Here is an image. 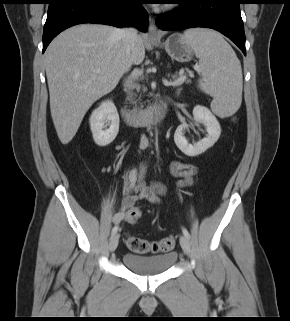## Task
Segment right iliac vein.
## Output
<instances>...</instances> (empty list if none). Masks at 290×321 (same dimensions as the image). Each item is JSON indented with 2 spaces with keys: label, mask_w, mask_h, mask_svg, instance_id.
Here are the masks:
<instances>
[{
  "label": "right iliac vein",
  "mask_w": 290,
  "mask_h": 321,
  "mask_svg": "<svg viewBox=\"0 0 290 321\" xmlns=\"http://www.w3.org/2000/svg\"><path fill=\"white\" fill-rule=\"evenodd\" d=\"M118 243H119V236L118 234H114L110 240L109 250L111 252L115 251L118 246Z\"/></svg>",
  "instance_id": "63e3f726"
}]
</instances>
